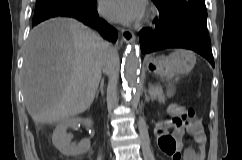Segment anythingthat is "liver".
Here are the masks:
<instances>
[{"label":"liver","instance_id":"6515ba94","mask_svg":"<svg viewBox=\"0 0 242 160\" xmlns=\"http://www.w3.org/2000/svg\"><path fill=\"white\" fill-rule=\"evenodd\" d=\"M109 45L70 18L35 27L27 40L22 82L26 109L36 124H53L85 112L109 63ZM118 64L113 63V68Z\"/></svg>","mask_w":242,"mask_h":160}]
</instances>
